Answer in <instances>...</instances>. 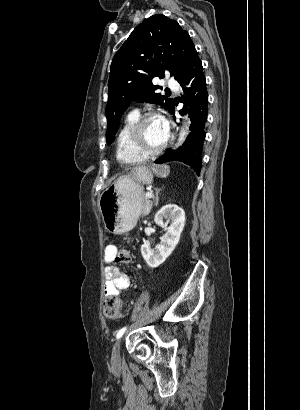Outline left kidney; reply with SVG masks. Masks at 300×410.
<instances>
[{"instance_id":"left-kidney-1","label":"left kidney","mask_w":300,"mask_h":410,"mask_svg":"<svg viewBox=\"0 0 300 410\" xmlns=\"http://www.w3.org/2000/svg\"><path fill=\"white\" fill-rule=\"evenodd\" d=\"M154 222L166 233L154 249L147 244L141 246V254L151 268L162 264L175 249L185 225V212L175 204H167L156 213ZM169 222L171 224L168 226Z\"/></svg>"}]
</instances>
